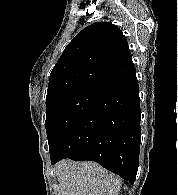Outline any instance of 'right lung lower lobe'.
Masks as SVG:
<instances>
[{"label":"right lung lower lobe","instance_id":"obj_1","mask_svg":"<svg viewBox=\"0 0 178 195\" xmlns=\"http://www.w3.org/2000/svg\"><path fill=\"white\" fill-rule=\"evenodd\" d=\"M139 87L136 74L99 91L77 125L51 155L98 162L134 183L141 141Z\"/></svg>","mask_w":178,"mask_h":195}]
</instances>
